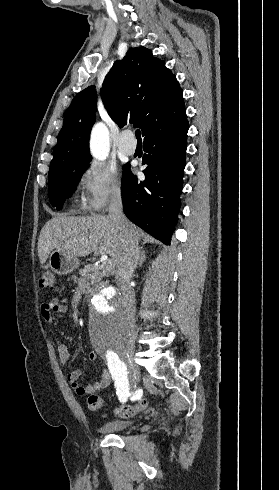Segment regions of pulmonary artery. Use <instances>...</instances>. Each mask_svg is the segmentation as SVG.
<instances>
[{"instance_id":"e3ab8cb5","label":"pulmonary artery","mask_w":279,"mask_h":490,"mask_svg":"<svg viewBox=\"0 0 279 490\" xmlns=\"http://www.w3.org/2000/svg\"><path fill=\"white\" fill-rule=\"evenodd\" d=\"M121 137L115 138V145L120 146V151L125 155H133L136 151V138L131 137L133 131L131 128H121L119 131Z\"/></svg>"}]
</instances>
